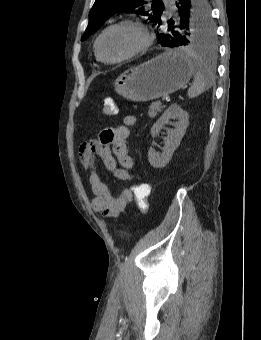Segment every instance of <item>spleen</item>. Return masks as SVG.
<instances>
[{"label": "spleen", "instance_id": "obj_1", "mask_svg": "<svg viewBox=\"0 0 261 340\" xmlns=\"http://www.w3.org/2000/svg\"><path fill=\"white\" fill-rule=\"evenodd\" d=\"M193 68L195 73L194 83L188 90V96L191 98L197 97L214 84L212 73L201 63L195 62Z\"/></svg>", "mask_w": 261, "mask_h": 340}]
</instances>
